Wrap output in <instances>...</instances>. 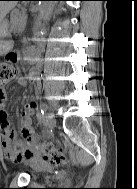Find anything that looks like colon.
<instances>
[{"instance_id":"colon-1","label":"colon","mask_w":137,"mask_h":189,"mask_svg":"<svg viewBox=\"0 0 137 189\" xmlns=\"http://www.w3.org/2000/svg\"><path fill=\"white\" fill-rule=\"evenodd\" d=\"M16 55L11 52L7 55L4 61H0V90L2 87L10 82L14 77L13 62L15 61ZM35 104H30V110L33 112ZM40 156L52 163L55 166H64L68 162V158L63 150L52 143L44 142L40 144Z\"/></svg>"}]
</instances>
